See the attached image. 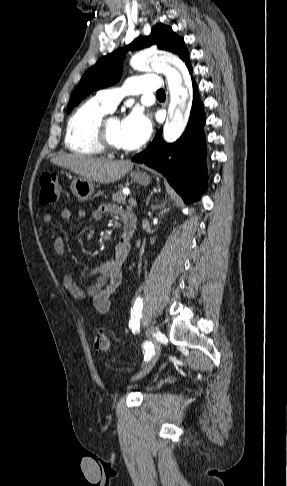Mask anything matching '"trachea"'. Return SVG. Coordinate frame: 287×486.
<instances>
[{
    "label": "trachea",
    "mask_w": 287,
    "mask_h": 486,
    "mask_svg": "<svg viewBox=\"0 0 287 486\" xmlns=\"http://www.w3.org/2000/svg\"><path fill=\"white\" fill-rule=\"evenodd\" d=\"M157 96H165V91L163 89H160L159 91L156 92Z\"/></svg>",
    "instance_id": "1"
}]
</instances>
